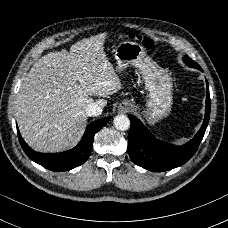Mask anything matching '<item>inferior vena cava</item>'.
I'll use <instances>...</instances> for the list:
<instances>
[{
	"instance_id": "602c4592",
	"label": "inferior vena cava",
	"mask_w": 228,
	"mask_h": 228,
	"mask_svg": "<svg viewBox=\"0 0 228 228\" xmlns=\"http://www.w3.org/2000/svg\"><path fill=\"white\" fill-rule=\"evenodd\" d=\"M85 114L87 116H99L102 114V107L99 106L96 102H93L89 105H87L85 109Z\"/></svg>"
}]
</instances>
